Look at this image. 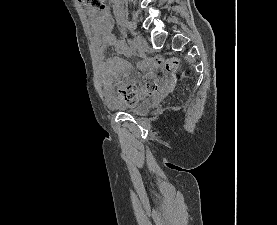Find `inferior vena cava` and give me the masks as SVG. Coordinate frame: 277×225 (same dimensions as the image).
Listing matches in <instances>:
<instances>
[{"label":"inferior vena cava","mask_w":277,"mask_h":225,"mask_svg":"<svg viewBox=\"0 0 277 225\" xmlns=\"http://www.w3.org/2000/svg\"><path fill=\"white\" fill-rule=\"evenodd\" d=\"M115 8H120L122 5V0H112Z\"/></svg>","instance_id":"obj_1"}]
</instances>
